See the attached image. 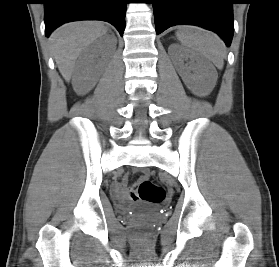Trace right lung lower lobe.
Returning <instances> with one entry per match:
<instances>
[{
	"label": "right lung lower lobe",
	"instance_id": "98d812e1",
	"mask_svg": "<svg viewBox=\"0 0 279 267\" xmlns=\"http://www.w3.org/2000/svg\"><path fill=\"white\" fill-rule=\"evenodd\" d=\"M45 34L76 20H102L114 25L123 36L127 0H43Z\"/></svg>",
	"mask_w": 279,
	"mask_h": 267
}]
</instances>
